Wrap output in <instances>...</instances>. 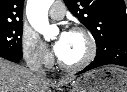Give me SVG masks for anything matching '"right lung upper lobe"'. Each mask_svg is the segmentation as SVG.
I'll use <instances>...</instances> for the list:
<instances>
[{"label": "right lung upper lobe", "mask_w": 127, "mask_h": 92, "mask_svg": "<svg viewBox=\"0 0 127 92\" xmlns=\"http://www.w3.org/2000/svg\"><path fill=\"white\" fill-rule=\"evenodd\" d=\"M24 0H0V25L20 24Z\"/></svg>", "instance_id": "1"}]
</instances>
